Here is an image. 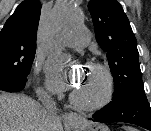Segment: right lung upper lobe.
<instances>
[{"label": "right lung upper lobe", "mask_w": 151, "mask_h": 131, "mask_svg": "<svg viewBox=\"0 0 151 131\" xmlns=\"http://www.w3.org/2000/svg\"><path fill=\"white\" fill-rule=\"evenodd\" d=\"M40 13L41 3L39 0H24L1 30L0 46L17 42L36 49Z\"/></svg>", "instance_id": "obj_1"}]
</instances>
